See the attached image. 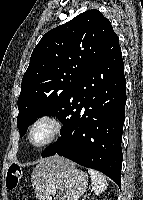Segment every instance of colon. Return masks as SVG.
I'll list each match as a JSON object with an SVG mask.
<instances>
[{
    "label": "colon",
    "mask_w": 143,
    "mask_h": 200,
    "mask_svg": "<svg viewBox=\"0 0 143 200\" xmlns=\"http://www.w3.org/2000/svg\"><path fill=\"white\" fill-rule=\"evenodd\" d=\"M22 176V171L17 164L9 166L6 177V186L9 190L17 188Z\"/></svg>",
    "instance_id": "5ec220e1"
}]
</instances>
